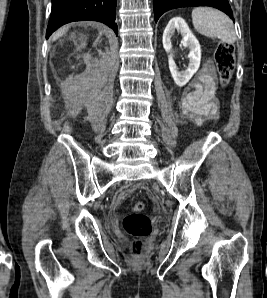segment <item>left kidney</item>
<instances>
[{"mask_svg": "<svg viewBox=\"0 0 267 298\" xmlns=\"http://www.w3.org/2000/svg\"><path fill=\"white\" fill-rule=\"evenodd\" d=\"M175 30L182 35V45L189 48L188 54L189 64L185 71H178V68L173 60L171 37L174 35ZM163 47L168 55V63L171 75L176 85L182 87L186 85L192 76L197 72L201 61V48L199 41L189 29L187 23L181 17L172 18L163 32Z\"/></svg>", "mask_w": 267, "mask_h": 298, "instance_id": "1", "label": "left kidney"}]
</instances>
